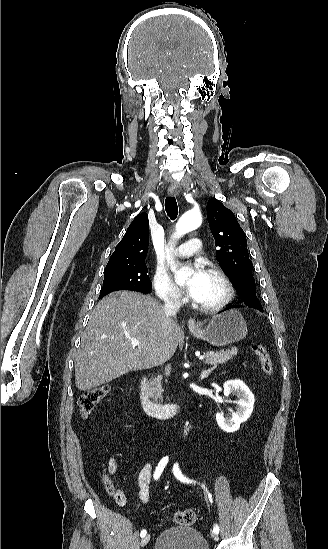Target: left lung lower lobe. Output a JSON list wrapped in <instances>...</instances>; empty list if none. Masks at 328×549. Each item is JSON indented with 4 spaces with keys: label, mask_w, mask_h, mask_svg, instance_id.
Segmentation results:
<instances>
[{
    "label": "left lung lower lobe",
    "mask_w": 328,
    "mask_h": 549,
    "mask_svg": "<svg viewBox=\"0 0 328 549\" xmlns=\"http://www.w3.org/2000/svg\"><path fill=\"white\" fill-rule=\"evenodd\" d=\"M247 306L250 307V308H254V309H257V310L263 312V308H262L260 302L259 303L249 304ZM236 307H240V305H229L224 310L231 309V308H236Z\"/></svg>",
    "instance_id": "0a47b994"
}]
</instances>
